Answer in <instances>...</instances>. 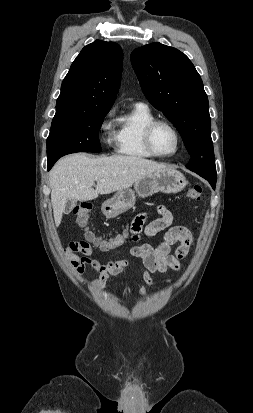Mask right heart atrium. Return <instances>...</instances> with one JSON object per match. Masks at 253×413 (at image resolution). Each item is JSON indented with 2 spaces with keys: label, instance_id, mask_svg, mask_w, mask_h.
I'll use <instances>...</instances> for the list:
<instances>
[{
  "label": "right heart atrium",
  "instance_id": "obj_1",
  "mask_svg": "<svg viewBox=\"0 0 253 413\" xmlns=\"http://www.w3.org/2000/svg\"><path fill=\"white\" fill-rule=\"evenodd\" d=\"M115 114L114 109H110L106 115L104 116L103 120L100 124V131L106 133V138L104 139V143L108 146H112L116 140V131L115 126L113 123V116Z\"/></svg>",
  "mask_w": 253,
  "mask_h": 413
}]
</instances>
